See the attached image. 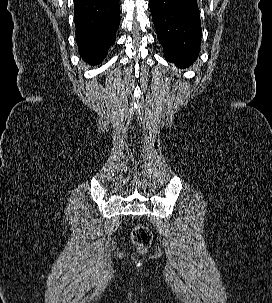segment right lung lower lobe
Here are the masks:
<instances>
[{"mask_svg":"<svg viewBox=\"0 0 272 303\" xmlns=\"http://www.w3.org/2000/svg\"><path fill=\"white\" fill-rule=\"evenodd\" d=\"M76 42L82 59L99 64L115 43L120 23L119 0H74Z\"/></svg>","mask_w":272,"mask_h":303,"instance_id":"98d812e1","label":"right lung lower lobe"}]
</instances>
